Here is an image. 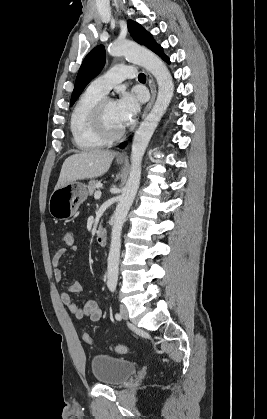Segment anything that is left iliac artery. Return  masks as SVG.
<instances>
[{
    "label": "left iliac artery",
    "mask_w": 267,
    "mask_h": 419,
    "mask_svg": "<svg viewBox=\"0 0 267 419\" xmlns=\"http://www.w3.org/2000/svg\"><path fill=\"white\" fill-rule=\"evenodd\" d=\"M111 291L114 292L115 291V287L111 288ZM115 318H116V320H121L122 319V316H121L120 313H116L115 314Z\"/></svg>",
    "instance_id": "left-iliac-artery-1"
}]
</instances>
